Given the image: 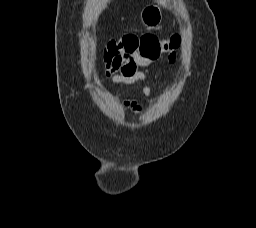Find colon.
I'll use <instances>...</instances> for the list:
<instances>
[{"label":"colon","mask_w":256,"mask_h":228,"mask_svg":"<svg viewBox=\"0 0 256 228\" xmlns=\"http://www.w3.org/2000/svg\"><path fill=\"white\" fill-rule=\"evenodd\" d=\"M180 39L178 36H172L165 42H160L159 39L152 34L125 35L118 40L110 41L103 54V59L106 66L115 64L118 59L125 55L138 52L150 58H157L164 46L167 45L170 49H175L179 46Z\"/></svg>","instance_id":"1"}]
</instances>
